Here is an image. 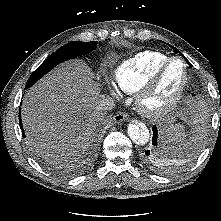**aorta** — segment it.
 Wrapping results in <instances>:
<instances>
[{"instance_id": "1", "label": "aorta", "mask_w": 221, "mask_h": 221, "mask_svg": "<svg viewBox=\"0 0 221 221\" xmlns=\"http://www.w3.org/2000/svg\"><path fill=\"white\" fill-rule=\"evenodd\" d=\"M127 133L133 142H136L140 145H145L150 138L149 130L143 124H129L127 128Z\"/></svg>"}]
</instances>
